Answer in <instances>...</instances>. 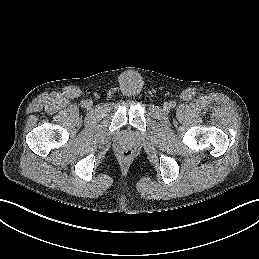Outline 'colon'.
Listing matches in <instances>:
<instances>
[{
  "mask_svg": "<svg viewBox=\"0 0 259 259\" xmlns=\"http://www.w3.org/2000/svg\"><path fill=\"white\" fill-rule=\"evenodd\" d=\"M121 154H122L123 158L128 159L131 157L132 151L130 149H124Z\"/></svg>",
  "mask_w": 259,
  "mask_h": 259,
  "instance_id": "colon-1",
  "label": "colon"
}]
</instances>
